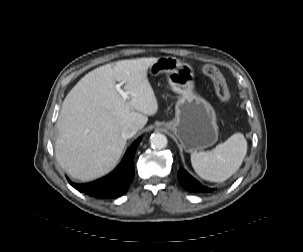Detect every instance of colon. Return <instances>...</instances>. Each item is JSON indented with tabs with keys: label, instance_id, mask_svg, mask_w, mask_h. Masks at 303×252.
<instances>
[{
	"label": "colon",
	"instance_id": "5ec220e1",
	"mask_svg": "<svg viewBox=\"0 0 303 252\" xmlns=\"http://www.w3.org/2000/svg\"><path fill=\"white\" fill-rule=\"evenodd\" d=\"M201 72L212 80L220 101L225 105L229 104L231 101L229 89L220 70L213 65L205 64L201 67Z\"/></svg>",
	"mask_w": 303,
	"mask_h": 252
}]
</instances>
